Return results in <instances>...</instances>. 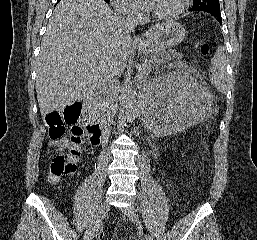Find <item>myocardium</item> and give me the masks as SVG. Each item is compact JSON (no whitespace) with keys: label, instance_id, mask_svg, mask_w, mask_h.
I'll use <instances>...</instances> for the list:
<instances>
[{"label":"myocardium","instance_id":"myocardium-1","mask_svg":"<svg viewBox=\"0 0 257 240\" xmlns=\"http://www.w3.org/2000/svg\"><path fill=\"white\" fill-rule=\"evenodd\" d=\"M188 5H189V0H180L178 7L169 13L158 14V13L153 12L150 9L149 14H150V17L155 20L167 21V20L174 19V18L180 16L182 13H184L187 10Z\"/></svg>","mask_w":257,"mask_h":240}]
</instances>
